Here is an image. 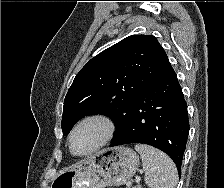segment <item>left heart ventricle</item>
Here are the masks:
<instances>
[{
  "label": "left heart ventricle",
  "mask_w": 224,
  "mask_h": 188,
  "mask_svg": "<svg viewBox=\"0 0 224 188\" xmlns=\"http://www.w3.org/2000/svg\"><path fill=\"white\" fill-rule=\"evenodd\" d=\"M105 128L98 121H89L84 123L76 131L73 138V150L81 154L91 150L96 146L104 136Z\"/></svg>",
  "instance_id": "b2bd125f"
}]
</instances>
